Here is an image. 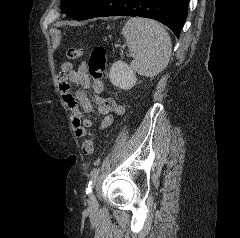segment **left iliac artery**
Instances as JSON below:
<instances>
[{
    "instance_id": "obj_1",
    "label": "left iliac artery",
    "mask_w": 240,
    "mask_h": 238,
    "mask_svg": "<svg viewBox=\"0 0 240 238\" xmlns=\"http://www.w3.org/2000/svg\"><path fill=\"white\" fill-rule=\"evenodd\" d=\"M98 174H99V168H94L93 171L91 172V179L88 183L86 194L92 192V189L97 181Z\"/></svg>"
}]
</instances>
